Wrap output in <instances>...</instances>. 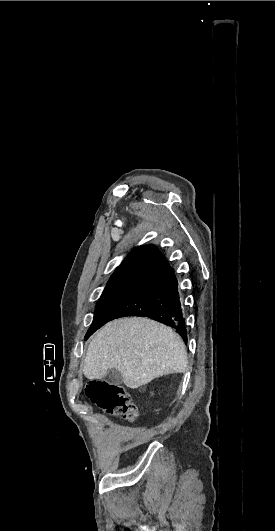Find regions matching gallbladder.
<instances>
[{
    "mask_svg": "<svg viewBox=\"0 0 275 531\" xmlns=\"http://www.w3.org/2000/svg\"><path fill=\"white\" fill-rule=\"evenodd\" d=\"M104 381H106L108 385H114V387H117V385H122L123 377L117 369H110L109 373L104 377Z\"/></svg>",
    "mask_w": 275,
    "mask_h": 531,
    "instance_id": "bac80fb5",
    "label": "gallbladder"
}]
</instances>
